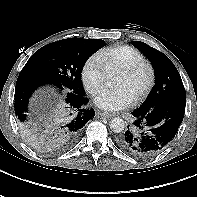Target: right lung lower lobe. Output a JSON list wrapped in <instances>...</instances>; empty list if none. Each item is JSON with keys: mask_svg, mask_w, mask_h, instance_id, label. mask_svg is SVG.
<instances>
[{"mask_svg": "<svg viewBox=\"0 0 197 197\" xmlns=\"http://www.w3.org/2000/svg\"><path fill=\"white\" fill-rule=\"evenodd\" d=\"M45 85L57 86L52 79L21 71L15 86V113L26 134L34 135L33 126L42 131L39 139L52 145L68 148L79 137L85 124L94 117L93 109H82L88 103L85 95L68 92L55 107L43 115H30L28 103L34 91Z\"/></svg>", "mask_w": 197, "mask_h": 197, "instance_id": "right-lung-lower-lobe-1", "label": "right lung lower lobe"}]
</instances>
